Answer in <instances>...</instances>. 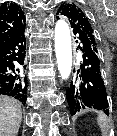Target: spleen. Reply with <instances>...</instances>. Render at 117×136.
<instances>
[{
    "label": "spleen",
    "instance_id": "spleen-1",
    "mask_svg": "<svg viewBox=\"0 0 117 136\" xmlns=\"http://www.w3.org/2000/svg\"><path fill=\"white\" fill-rule=\"evenodd\" d=\"M98 124L101 127V129L105 130L107 127V119L104 115H100L98 117Z\"/></svg>",
    "mask_w": 117,
    "mask_h": 136
}]
</instances>
